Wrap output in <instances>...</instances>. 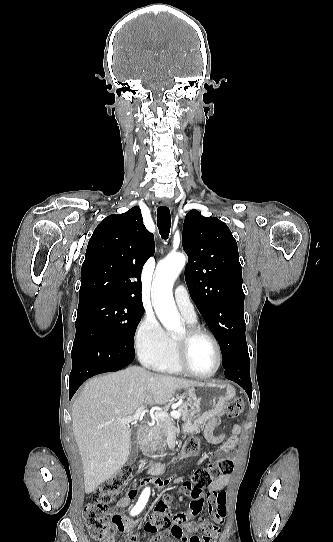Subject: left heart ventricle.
Here are the masks:
<instances>
[{
  "mask_svg": "<svg viewBox=\"0 0 333 542\" xmlns=\"http://www.w3.org/2000/svg\"><path fill=\"white\" fill-rule=\"evenodd\" d=\"M185 330L176 337H183ZM217 363V354L213 343L206 337L200 336L192 339L188 345V364L199 374H207L214 370Z\"/></svg>",
  "mask_w": 333,
  "mask_h": 542,
  "instance_id": "left-heart-ventricle-1",
  "label": "left heart ventricle"
}]
</instances>
